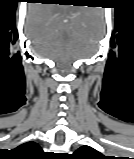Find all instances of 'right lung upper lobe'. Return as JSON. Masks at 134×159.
<instances>
[{"label":"right lung upper lobe","mask_w":134,"mask_h":159,"mask_svg":"<svg viewBox=\"0 0 134 159\" xmlns=\"http://www.w3.org/2000/svg\"><path fill=\"white\" fill-rule=\"evenodd\" d=\"M18 153L21 155H24L23 159H35L40 153L41 148L40 146L35 142H27L15 149Z\"/></svg>","instance_id":"obj_1"}]
</instances>
